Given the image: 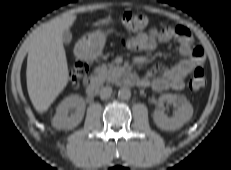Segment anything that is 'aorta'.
Returning <instances> with one entry per match:
<instances>
[{"instance_id":"1","label":"aorta","mask_w":231,"mask_h":170,"mask_svg":"<svg viewBox=\"0 0 231 170\" xmlns=\"http://www.w3.org/2000/svg\"><path fill=\"white\" fill-rule=\"evenodd\" d=\"M118 97L122 100H128L131 97V91L129 88H121L118 91Z\"/></svg>"}]
</instances>
